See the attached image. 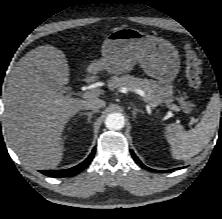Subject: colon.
<instances>
[{
  "label": "colon",
  "mask_w": 222,
  "mask_h": 219,
  "mask_svg": "<svg viewBox=\"0 0 222 219\" xmlns=\"http://www.w3.org/2000/svg\"><path fill=\"white\" fill-rule=\"evenodd\" d=\"M184 52L186 58L185 76L189 86L198 91L202 86L201 62L191 44L186 43L184 45Z\"/></svg>",
  "instance_id": "obj_1"
}]
</instances>
